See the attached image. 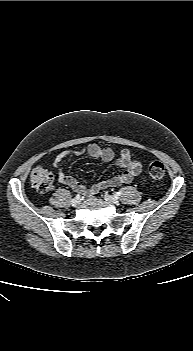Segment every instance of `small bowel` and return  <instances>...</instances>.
<instances>
[{"mask_svg": "<svg viewBox=\"0 0 193 351\" xmlns=\"http://www.w3.org/2000/svg\"><path fill=\"white\" fill-rule=\"evenodd\" d=\"M87 154L95 160L105 163L115 161V164L122 168V173L109 179L100 180L92 186L87 187L79 183L76 179L63 173L59 168L60 164L70 157H77ZM53 167L57 170V182L73 189L82 195H94L99 191L107 188L117 187L122 184L130 183L141 173V164L139 161L132 159L129 150L123 149L116 158L114 151L108 147H101L92 143L81 149H66L60 152L53 161Z\"/></svg>", "mask_w": 193, "mask_h": 351, "instance_id": "c3829d8e", "label": "small bowel"}]
</instances>
